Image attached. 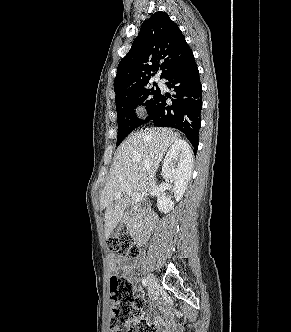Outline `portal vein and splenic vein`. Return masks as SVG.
Returning a JSON list of instances; mask_svg holds the SVG:
<instances>
[{"label": "portal vein and splenic vein", "instance_id": "obj_1", "mask_svg": "<svg viewBox=\"0 0 291 332\" xmlns=\"http://www.w3.org/2000/svg\"><path fill=\"white\" fill-rule=\"evenodd\" d=\"M123 188L125 189L126 193L131 197L133 202L137 203L142 200V195L138 192H131L128 184H124ZM117 198H119V196H117Z\"/></svg>", "mask_w": 291, "mask_h": 332}]
</instances>
